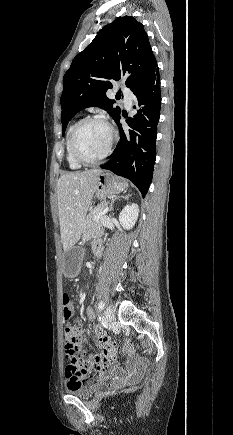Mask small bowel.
I'll use <instances>...</instances> for the list:
<instances>
[{"label": "small bowel", "mask_w": 233, "mask_h": 435, "mask_svg": "<svg viewBox=\"0 0 233 435\" xmlns=\"http://www.w3.org/2000/svg\"><path fill=\"white\" fill-rule=\"evenodd\" d=\"M95 246H97L98 252L95 251L94 252L97 256H100L101 254L100 242H95L94 249ZM71 306L72 309L74 310L73 304ZM87 316H89L90 318H94L95 312L92 309H89L87 311ZM64 319L67 320L65 317ZM92 333L96 345L105 346L108 342H110L109 338L107 337V335L105 334L101 326L95 325L92 328ZM83 340H84L83 331H80V335H79L80 343H82ZM122 354L126 358V370L129 374L135 375L144 368L145 362L143 360H139L132 350H124ZM96 360L101 361L102 366L99 368V370L95 372L94 374L95 377H108L114 373L124 370V367L117 360L116 353L98 355L94 358L80 357L78 358V361L81 363V366L75 367L68 364V366L66 367L64 376L67 382L70 384L77 385L82 380H89L88 378H86V376L80 374V369H86L87 371L91 372L92 365Z\"/></svg>", "instance_id": "c3829d8e"}]
</instances>
